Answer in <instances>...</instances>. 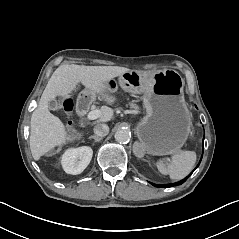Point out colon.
<instances>
[{
	"mask_svg": "<svg viewBox=\"0 0 239 239\" xmlns=\"http://www.w3.org/2000/svg\"><path fill=\"white\" fill-rule=\"evenodd\" d=\"M64 106L67 111H71L73 108V100L72 99L66 100Z\"/></svg>",
	"mask_w": 239,
	"mask_h": 239,
	"instance_id": "obj_1",
	"label": "colon"
}]
</instances>
